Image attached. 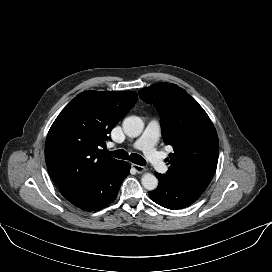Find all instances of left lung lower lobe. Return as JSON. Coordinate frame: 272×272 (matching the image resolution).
I'll list each match as a JSON object with an SVG mask.
<instances>
[{"label":"left lung lower lobe","instance_id":"left-lung-lower-lobe-1","mask_svg":"<svg viewBox=\"0 0 272 272\" xmlns=\"http://www.w3.org/2000/svg\"><path fill=\"white\" fill-rule=\"evenodd\" d=\"M158 188L149 192L150 198L158 205L171 210L185 208L195 202L204 187L179 178L156 173Z\"/></svg>","mask_w":272,"mask_h":272}]
</instances>
